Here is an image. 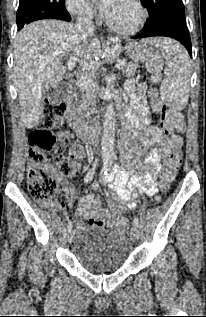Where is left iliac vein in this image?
<instances>
[{
	"instance_id": "obj_1",
	"label": "left iliac vein",
	"mask_w": 206,
	"mask_h": 317,
	"mask_svg": "<svg viewBox=\"0 0 206 317\" xmlns=\"http://www.w3.org/2000/svg\"><path fill=\"white\" fill-rule=\"evenodd\" d=\"M138 234H139V232H138V229H137V227H132L131 228V230H130V238H131V240L132 241H137V239H138Z\"/></svg>"
}]
</instances>
